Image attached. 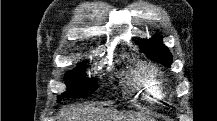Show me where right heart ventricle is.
<instances>
[{"instance_id": "e07e8e85", "label": "right heart ventricle", "mask_w": 217, "mask_h": 121, "mask_svg": "<svg viewBox=\"0 0 217 121\" xmlns=\"http://www.w3.org/2000/svg\"><path fill=\"white\" fill-rule=\"evenodd\" d=\"M136 80L153 98H163V79L156 68L152 66H145L142 73H138L136 75Z\"/></svg>"}]
</instances>
